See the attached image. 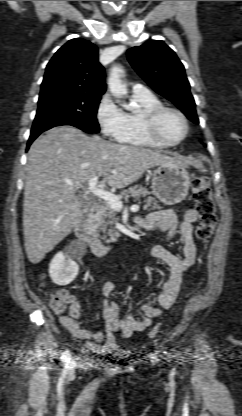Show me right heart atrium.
<instances>
[{"instance_id":"d8ad5b80","label":"right heart atrium","mask_w":242,"mask_h":416,"mask_svg":"<svg viewBox=\"0 0 242 416\" xmlns=\"http://www.w3.org/2000/svg\"><path fill=\"white\" fill-rule=\"evenodd\" d=\"M96 119L105 136L120 141L126 130V117L110 96L106 95L101 99L96 110Z\"/></svg>"}]
</instances>
